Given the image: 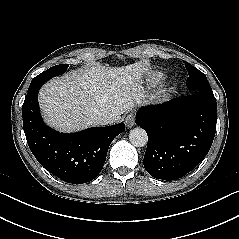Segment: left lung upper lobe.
I'll return each instance as SVG.
<instances>
[{
    "label": "left lung upper lobe",
    "instance_id": "left-lung-upper-lobe-1",
    "mask_svg": "<svg viewBox=\"0 0 239 239\" xmlns=\"http://www.w3.org/2000/svg\"><path fill=\"white\" fill-rule=\"evenodd\" d=\"M185 67L189 74L186 84L190 93H213L204 73L188 62H185Z\"/></svg>",
    "mask_w": 239,
    "mask_h": 239
}]
</instances>
